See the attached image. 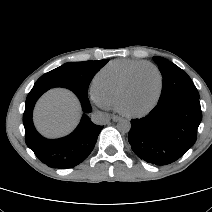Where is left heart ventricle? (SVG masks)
Wrapping results in <instances>:
<instances>
[{
	"mask_svg": "<svg viewBox=\"0 0 212 212\" xmlns=\"http://www.w3.org/2000/svg\"><path fill=\"white\" fill-rule=\"evenodd\" d=\"M158 88L159 79L155 71L151 68L141 69L134 77L124 99L123 108L128 112L147 109L155 100Z\"/></svg>",
	"mask_w": 212,
	"mask_h": 212,
	"instance_id": "b2bd125f",
	"label": "left heart ventricle"
}]
</instances>
